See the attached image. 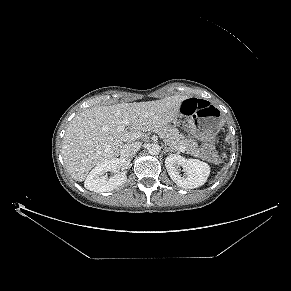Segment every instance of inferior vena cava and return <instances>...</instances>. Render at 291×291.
<instances>
[{
	"label": "inferior vena cava",
	"instance_id": "602c4592",
	"mask_svg": "<svg viewBox=\"0 0 291 291\" xmlns=\"http://www.w3.org/2000/svg\"><path fill=\"white\" fill-rule=\"evenodd\" d=\"M141 148V143L139 142H132L127 143L121 149V156L124 158L133 157Z\"/></svg>",
	"mask_w": 291,
	"mask_h": 291
}]
</instances>
